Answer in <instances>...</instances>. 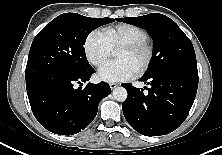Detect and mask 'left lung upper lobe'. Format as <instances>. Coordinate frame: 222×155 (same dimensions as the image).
Returning <instances> with one entry per match:
<instances>
[{
  "instance_id": "1",
  "label": "left lung upper lobe",
  "mask_w": 222,
  "mask_h": 155,
  "mask_svg": "<svg viewBox=\"0 0 222 155\" xmlns=\"http://www.w3.org/2000/svg\"><path fill=\"white\" fill-rule=\"evenodd\" d=\"M145 29L154 42L153 56L145 74L167 70H183L198 74L196 55L190 39L165 15L151 13L140 17L119 18Z\"/></svg>"
}]
</instances>
